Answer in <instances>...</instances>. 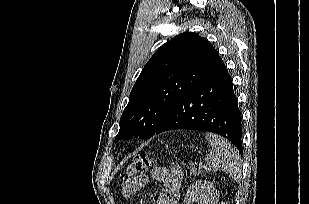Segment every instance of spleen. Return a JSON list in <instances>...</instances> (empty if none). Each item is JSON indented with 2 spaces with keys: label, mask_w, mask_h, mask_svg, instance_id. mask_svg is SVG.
Wrapping results in <instances>:
<instances>
[{
  "label": "spleen",
  "mask_w": 309,
  "mask_h": 204,
  "mask_svg": "<svg viewBox=\"0 0 309 204\" xmlns=\"http://www.w3.org/2000/svg\"><path fill=\"white\" fill-rule=\"evenodd\" d=\"M206 139L212 150L206 156V162L213 171L229 174L235 181L241 178V158L235 147L226 139L207 133Z\"/></svg>",
  "instance_id": "3e777b00"
}]
</instances>
